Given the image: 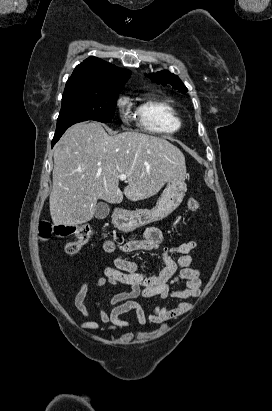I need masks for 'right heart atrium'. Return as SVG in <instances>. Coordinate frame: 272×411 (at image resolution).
<instances>
[{
  "mask_svg": "<svg viewBox=\"0 0 272 411\" xmlns=\"http://www.w3.org/2000/svg\"><path fill=\"white\" fill-rule=\"evenodd\" d=\"M124 102L122 100H118L117 102V107L121 108L123 106Z\"/></svg>",
  "mask_w": 272,
  "mask_h": 411,
  "instance_id": "1",
  "label": "right heart atrium"
}]
</instances>
